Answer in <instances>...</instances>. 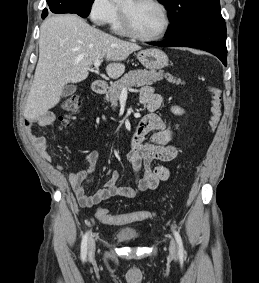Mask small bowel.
Returning a JSON list of instances; mask_svg holds the SVG:
<instances>
[{"mask_svg":"<svg viewBox=\"0 0 259 283\" xmlns=\"http://www.w3.org/2000/svg\"><path fill=\"white\" fill-rule=\"evenodd\" d=\"M141 103L146 105L148 114L139 124L131 139L130 149L126 156L135 170L133 186H119V173L108 171L105 186L94 195H87L83 183L92 178L99 162L97 151H86L84 157L88 167L83 171L71 172L67 180L82 206L91 207L111 197L136 198L141 192L155 190L161 181H166L171 176L170 169L162 164L174 160L178 155L177 148L172 144L173 133L165 121L154 112L163 104V97L153 92L151 88H145L140 96ZM172 111L176 115L182 114V109L173 106ZM56 116L52 112L44 113L38 117L26 121L25 129L28 138L35 145L38 153L47 161L51 160L47 152V139L34 133L35 124L49 126L55 123ZM148 138V142L145 139ZM161 164L153 166V162Z\"/></svg>","mask_w":259,"mask_h":283,"instance_id":"obj_1","label":"small bowel"}]
</instances>
